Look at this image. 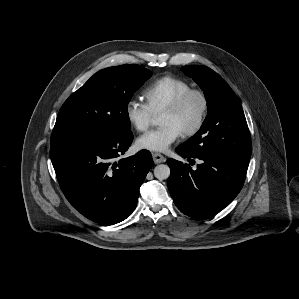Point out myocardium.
<instances>
[{
	"label": "myocardium",
	"mask_w": 299,
	"mask_h": 299,
	"mask_svg": "<svg viewBox=\"0 0 299 299\" xmlns=\"http://www.w3.org/2000/svg\"><path fill=\"white\" fill-rule=\"evenodd\" d=\"M198 97L201 108L196 121L189 127L182 130L184 136H193L203 127L209 111V98L207 93L199 88H191L179 95L170 105H168L162 113L175 114L180 112L186 103L192 98Z\"/></svg>",
	"instance_id": "myocardium-1"
}]
</instances>
